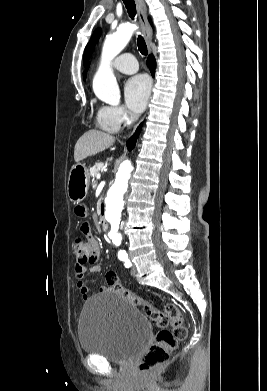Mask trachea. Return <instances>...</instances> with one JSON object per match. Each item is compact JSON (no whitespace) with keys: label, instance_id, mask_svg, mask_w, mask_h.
Here are the masks:
<instances>
[{"label":"trachea","instance_id":"obj_1","mask_svg":"<svg viewBox=\"0 0 267 391\" xmlns=\"http://www.w3.org/2000/svg\"><path fill=\"white\" fill-rule=\"evenodd\" d=\"M123 2L126 6V9H127L129 16L132 19H134L135 15H136V5H135L134 0H123ZM137 46H138V50L140 51V53L142 55L146 56L148 54L146 43L144 41V38L141 35L138 36Z\"/></svg>","mask_w":267,"mask_h":391}]
</instances>
